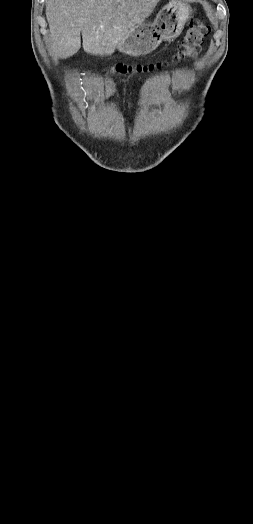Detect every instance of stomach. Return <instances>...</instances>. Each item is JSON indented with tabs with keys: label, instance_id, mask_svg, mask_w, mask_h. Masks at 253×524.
<instances>
[{
	"label": "stomach",
	"instance_id": "stomach-1",
	"mask_svg": "<svg viewBox=\"0 0 253 524\" xmlns=\"http://www.w3.org/2000/svg\"><path fill=\"white\" fill-rule=\"evenodd\" d=\"M192 9L181 0H172L157 14L153 23L137 24L117 49L130 56H141L155 50L163 40L180 35L190 18Z\"/></svg>",
	"mask_w": 253,
	"mask_h": 524
}]
</instances>
